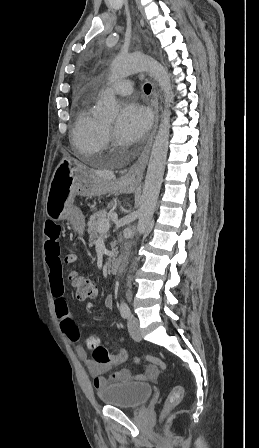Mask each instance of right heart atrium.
I'll return each instance as SVG.
<instances>
[{"label": "right heart atrium", "mask_w": 259, "mask_h": 448, "mask_svg": "<svg viewBox=\"0 0 259 448\" xmlns=\"http://www.w3.org/2000/svg\"><path fill=\"white\" fill-rule=\"evenodd\" d=\"M104 143H105L106 149L114 148L116 146V140L110 131H105Z\"/></svg>", "instance_id": "obj_1"}]
</instances>
